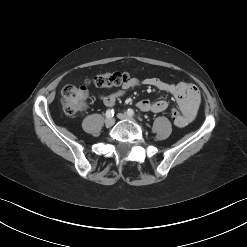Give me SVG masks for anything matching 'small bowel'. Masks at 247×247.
Segmentation results:
<instances>
[{"label": "small bowel", "mask_w": 247, "mask_h": 247, "mask_svg": "<svg viewBox=\"0 0 247 247\" xmlns=\"http://www.w3.org/2000/svg\"><path fill=\"white\" fill-rule=\"evenodd\" d=\"M142 83L146 86L154 87L160 91L169 93L175 98L181 110L180 118L175 121L177 127H185L194 120L201 103L200 92L194 84L187 82L168 83L156 77L145 78ZM138 84V80L131 79L122 87V89L110 94L102 95L101 100L106 106H113L116 100L121 97L126 90L133 88ZM137 106L142 111L160 113L168 108V102L162 99L156 101L142 99L137 103Z\"/></svg>", "instance_id": "c3829d8e"}]
</instances>
